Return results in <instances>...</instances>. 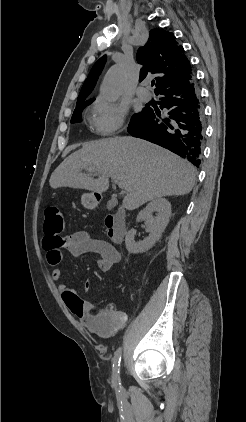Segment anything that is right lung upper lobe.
<instances>
[{"instance_id": "1", "label": "right lung upper lobe", "mask_w": 246, "mask_h": 422, "mask_svg": "<svg viewBox=\"0 0 246 422\" xmlns=\"http://www.w3.org/2000/svg\"><path fill=\"white\" fill-rule=\"evenodd\" d=\"M183 52V47L177 44L172 33L162 29H152L147 43L137 52V61L143 65L139 80L149 75L156 76L155 93H157L192 78L191 65ZM105 61L106 56H103L93 65L81 88L76 107L94 101L93 98L87 99V97L92 92Z\"/></svg>"}]
</instances>
